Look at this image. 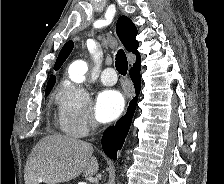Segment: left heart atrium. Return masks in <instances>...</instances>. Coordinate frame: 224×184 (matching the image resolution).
Segmentation results:
<instances>
[{"instance_id":"obj_1","label":"left heart atrium","mask_w":224,"mask_h":184,"mask_svg":"<svg viewBox=\"0 0 224 184\" xmlns=\"http://www.w3.org/2000/svg\"><path fill=\"white\" fill-rule=\"evenodd\" d=\"M124 105V98L118 91L105 90L97 97L96 116L101 122H110L122 113Z\"/></svg>"}]
</instances>
